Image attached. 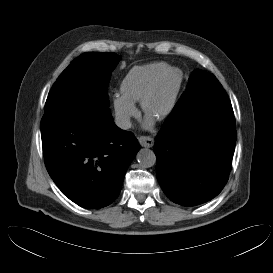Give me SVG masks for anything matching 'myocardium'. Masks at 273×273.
<instances>
[{
  "instance_id": "1",
  "label": "myocardium",
  "mask_w": 273,
  "mask_h": 273,
  "mask_svg": "<svg viewBox=\"0 0 273 273\" xmlns=\"http://www.w3.org/2000/svg\"><path fill=\"white\" fill-rule=\"evenodd\" d=\"M174 71L170 70V69H164L162 71H160L154 78L153 80L148 84V86L145 88V90L143 91L141 98H140V105L142 108V111L144 113V115L147 118H155L157 120H161V119H165L166 117H168L172 111L174 110L176 103H177V99H178V95H179V91L181 88V84H182V78L181 76H177V82L173 91V95L171 97L170 103L168 104V106L160 113L158 114L156 117H152L148 111V101L151 97V95L153 94V92L155 91L156 87L158 86V84L160 83V81L162 80V78L164 76H166L169 73H173Z\"/></svg>"
}]
</instances>
